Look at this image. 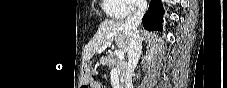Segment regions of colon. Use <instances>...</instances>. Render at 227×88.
<instances>
[{
    "label": "colon",
    "mask_w": 227,
    "mask_h": 88,
    "mask_svg": "<svg viewBox=\"0 0 227 88\" xmlns=\"http://www.w3.org/2000/svg\"><path fill=\"white\" fill-rule=\"evenodd\" d=\"M82 87L86 88V87H88V86L84 85V86H82Z\"/></svg>",
    "instance_id": "5ec220e1"
}]
</instances>
